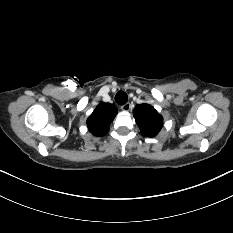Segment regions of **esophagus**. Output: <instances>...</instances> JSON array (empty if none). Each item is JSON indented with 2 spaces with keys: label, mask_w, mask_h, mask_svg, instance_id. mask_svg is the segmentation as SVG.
I'll return each instance as SVG.
<instances>
[{
  "label": "esophagus",
  "mask_w": 233,
  "mask_h": 233,
  "mask_svg": "<svg viewBox=\"0 0 233 233\" xmlns=\"http://www.w3.org/2000/svg\"><path fill=\"white\" fill-rule=\"evenodd\" d=\"M131 108V104L130 103H125L124 105L121 106V109L123 111H129Z\"/></svg>",
  "instance_id": "esophagus-1"
}]
</instances>
